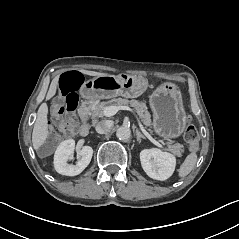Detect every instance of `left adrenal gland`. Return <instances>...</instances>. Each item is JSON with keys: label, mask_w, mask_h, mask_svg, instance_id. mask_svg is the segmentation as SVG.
Returning <instances> with one entry per match:
<instances>
[{"label": "left adrenal gland", "mask_w": 239, "mask_h": 239, "mask_svg": "<svg viewBox=\"0 0 239 239\" xmlns=\"http://www.w3.org/2000/svg\"><path fill=\"white\" fill-rule=\"evenodd\" d=\"M136 134H137V139H136V141H137L138 144L141 143V139H143V140L146 139V138L141 134V132H140L138 129H136Z\"/></svg>", "instance_id": "left-adrenal-gland-1"}]
</instances>
